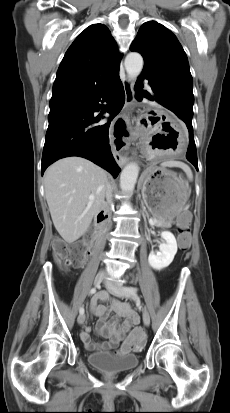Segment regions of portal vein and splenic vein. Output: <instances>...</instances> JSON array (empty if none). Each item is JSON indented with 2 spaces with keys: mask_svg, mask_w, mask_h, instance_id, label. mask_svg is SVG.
Masks as SVG:
<instances>
[{
  "mask_svg": "<svg viewBox=\"0 0 230 413\" xmlns=\"http://www.w3.org/2000/svg\"><path fill=\"white\" fill-rule=\"evenodd\" d=\"M93 198H94V196H90V197H89V199H93ZM153 222H154V221L151 219V220H150V223H153Z\"/></svg>",
  "mask_w": 230,
  "mask_h": 413,
  "instance_id": "portal-vein-and-splenic-vein-1",
  "label": "portal vein and splenic vein"
}]
</instances>
